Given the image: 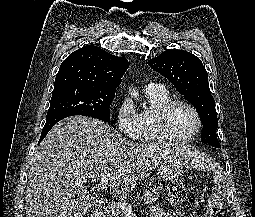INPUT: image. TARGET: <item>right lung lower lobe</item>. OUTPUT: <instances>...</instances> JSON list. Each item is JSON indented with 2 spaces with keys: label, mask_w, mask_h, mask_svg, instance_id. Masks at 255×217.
Returning a JSON list of instances; mask_svg holds the SVG:
<instances>
[{
  "label": "right lung lower lobe",
  "mask_w": 255,
  "mask_h": 217,
  "mask_svg": "<svg viewBox=\"0 0 255 217\" xmlns=\"http://www.w3.org/2000/svg\"><path fill=\"white\" fill-rule=\"evenodd\" d=\"M75 114H72V113H57V114H54L50 117H47L46 118V123H45V126L43 127V130H42V133H41V137H40V140L38 143H40L44 137L47 135V133L49 132V130L57 123L59 122L60 120L66 118V117H69V116H73Z\"/></svg>",
  "instance_id": "1"
}]
</instances>
